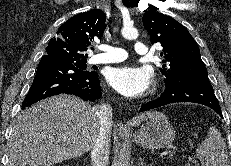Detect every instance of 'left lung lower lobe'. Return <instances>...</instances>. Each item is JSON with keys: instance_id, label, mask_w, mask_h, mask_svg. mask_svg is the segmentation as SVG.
Here are the masks:
<instances>
[{"instance_id": "obj_1", "label": "left lung lower lobe", "mask_w": 231, "mask_h": 166, "mask_svg": "<svg viewBox=\"0 0 231 166\" xmlns=\"http://www.w3.org/2000/svg\"><path fill=\"white\" fill-rule=\"evenodd\" d=\"M176 102H193L206 105L221 117V108L209 81L184 80L166 87L163 94L141 106L140 111H147Z\"/></svg>"}]
</instances>
